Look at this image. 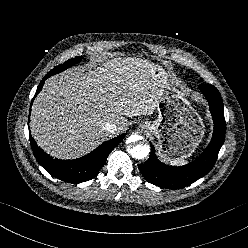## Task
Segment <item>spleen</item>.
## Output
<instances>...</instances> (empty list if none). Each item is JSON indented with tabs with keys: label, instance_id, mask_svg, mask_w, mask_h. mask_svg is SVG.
Masks as SVG:
<instances>
[{
	"label": "spleen",
	"instance_id": "obj_1",
	"mask_svg": "<svg viewBox=\"0 0 248 248\" xmlns=\"http://www.w3.org/2000/svg\"><path fill=\"white\" fill-rule=\"evenodd\" d=\"M170 163L172 165L177 166V165H185V164H187V161L182 160V159H175V160H172Z\"/></svg>",
	"mask_w": 248,
	"mask_h": 248
}]
</instances>
